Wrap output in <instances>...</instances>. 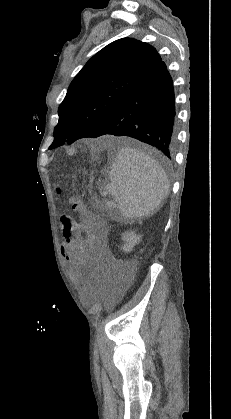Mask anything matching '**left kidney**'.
<instances>
[{
	"label": "left kidney",
	"instance_id": "obj_1",
	"mask_svg": "<svg viewBox=\"0 0 231 419\" xmlns=\"http://www.w3.org/2000/svg\"><path fill=\"white\" fill-rule=\"evenodd\" d=\"M142 235H137L135 231H126L122 234V240L125 242L122 250L125 253L131 252L133 247L141 241Z\"/></svg>",
	"mask_w": 231,
	"mask_h": 419
}]
</instances>
